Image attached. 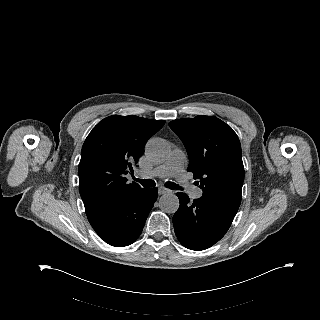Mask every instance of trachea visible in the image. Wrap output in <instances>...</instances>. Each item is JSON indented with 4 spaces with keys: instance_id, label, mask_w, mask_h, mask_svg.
<instances>
[{
    "instance_id": "1",
    "label": "trachea",
    "mask_w": 320,
    "mask_h": 320,
    "mask_svg": "<svg viewBox=\"0 0 320 320\" xmlns=\"http://www.w3.org/2000/svg\"><path fill=\"white\" fill-rule=\"evenodd\" d=\"M134 180L139 182L144 187H154L156 185L155 181H153L152 179H137V178H134ZM165 187H167L169 189L183 190L182 187H180L179 185H177V184H175L173 182H166L165 183Z\"/></svg>"
}]
</instances>
